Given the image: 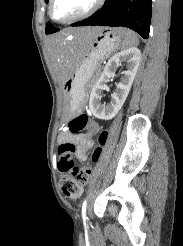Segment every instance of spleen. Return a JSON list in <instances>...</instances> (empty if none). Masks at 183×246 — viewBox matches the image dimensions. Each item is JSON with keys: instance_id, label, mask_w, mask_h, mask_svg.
<instances>
[{"instance_id": "3e777b00", "label": "spleen", "mask_w": 183, "mask_h": 246, "mask_svg": "<svg viewBox=\"0 0 183 246\" xmlns=\"http://www.w3.org/2000/svg\"><path fill=\"white\" fill-rule=\"evenodd\" d=\"M123 35H124V41L122 46L124 48L126 47H132V46H136L139 44V39L137 37V35L129 30H123ZM89 61H87V63L84 65L83 69L87 68V66L89 65Z\"/></svg>"}]
</instances>
